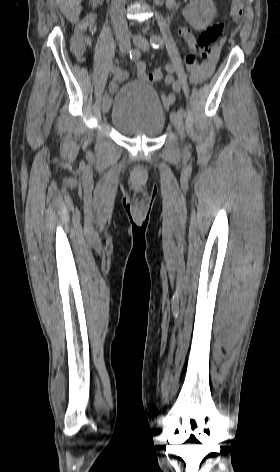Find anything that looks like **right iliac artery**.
<instances>
[{
  "mask_svg": "<svg viewBox=\"0 0 280 472\" xmlns=\"http://www.w3.org/2000/svg\"><path fill=\"white\" fill-rule=\"evenodd\" d=\"M130 59L133 61H137L141 57V53L138 49H131L128 51ZM111 74L114 77H119L122 74V71L119 67L117 66H112L111 67Z\"/></svg>",
  "mask_w": 280,
  "mask_h": 472,
  "instance_id": "1",
  "label": "right iliac artery"
}]
</instances>
